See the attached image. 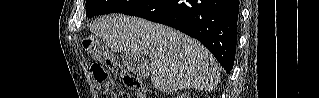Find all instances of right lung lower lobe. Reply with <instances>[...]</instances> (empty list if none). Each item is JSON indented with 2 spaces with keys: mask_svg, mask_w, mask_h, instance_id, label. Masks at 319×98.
<instances>
[{
  "mask_svg": "<svg viewBox=\"0 0 319 98\" xmlns=\"http://www.w3.org/2000/svg\"><path fill=\"white\" fill-rule=\"evenodd\" d=\"M124 14L178 29L206 46L227 73L232 70L237 43L238 0H148Z\"/></svg>",
  "mask_w": 319,
  "mask_h": 98,
  "instance_id": "1",
  "label": "right lung lower lobe"
}]
</instances>
